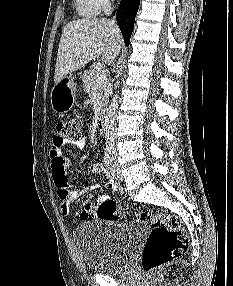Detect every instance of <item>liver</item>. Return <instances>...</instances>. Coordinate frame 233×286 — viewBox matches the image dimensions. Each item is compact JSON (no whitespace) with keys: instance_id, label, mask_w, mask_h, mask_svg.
<instances>
[{"instance_id":"1","label":"liver","mask_w":233,"mask_h":286,"mask_svg":"<svg viewBox=\"0 0 233 286\" xmlns=\"http://www.w3.org/2000/svg\"><path fill=\"white\" fill-rule=\"evenodd\" d=\"M121 44L120 30L114 21L85 18L69 22L63 28L59 43L55 83L101 55L106 63H111L118 55Z\"/></svg>"}]
</instances>
